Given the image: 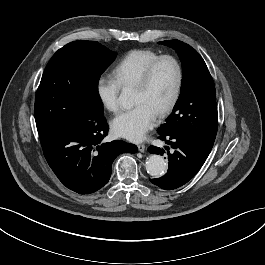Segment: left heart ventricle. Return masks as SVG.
Returning a JSON list of instances; mask_svg holds the SVG:
<instances>
[{"label":"left heart ventricle","mask_w":265,"mask_h":265,"mask_svg":"<svg viewBox=\"0 0 265 265\" xmlns=\"http://www.w3.org/2000/svg\"><path fill=\"white\" fill-rule=\"evenodd\" d=\"M177 81L173 62L165 60L155 68L149 86L145 90L134 89L133 104H144L156 115L171 100Z\"/></svg>","instance_id":"obj_1"}]
</instances>
